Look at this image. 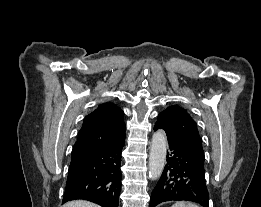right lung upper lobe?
I'll list each match as a JSON object with an SVG mask.
<instances>
[{"label": "right lung upper lobe", "mask_w": 261, "mask_h": 207, "mask_svg": "<svg viewBox=\"0 0 261 207\" xmlns=\"http://www.w3.org/2000/svg\"><path fill=\"white\" fill-rule=\"evenodd\" d=\"M123 111L114 103H103L84 118L72 156L114 145L125 139Z\"/></svg>", "instance_id": "cb5924a9"}]
</instances>
